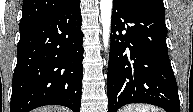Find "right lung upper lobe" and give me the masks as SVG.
<instances>
[{"label": "right lung upper lobe", "instance_id": "right-lung-upper-lobe-1", "mask_svg": "<svg viewBox=\"0 0 193 112\" xmlns=\"http://www.w3.org/2000/svg\"><path fill=\"white\" fill-rule=\"evenodd\" d=\"M73 0H23L19 28L34 24L63 9Z\"/></svg>", "mask_w": 193, "mask_h": 112}]
</instances>
